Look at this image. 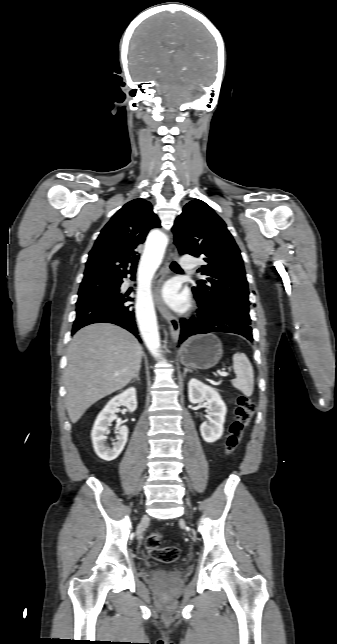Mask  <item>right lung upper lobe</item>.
Returning a JSON list of instances; mask_svg holds the SVG:
<instances>
[{"mask_svg":"<svg viewBox=\"0 0 337 644\" xmlns=\"http://www.w3.org/2000/svg\"><path fill=\"white\" fill-rule=\"evenodd\" d=\"M160 227L152 205L144 199L125 204L102 229L86 263L82 282L119 279L137 267L136 248L152 228ZM129 269V270H128Z\"/></svg>","mask_w":337,"mask_h":644,"instance_id":"cb5924a9","label":"right lung upper lobe"}]
</instances>
